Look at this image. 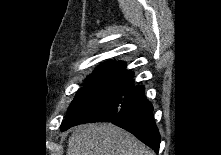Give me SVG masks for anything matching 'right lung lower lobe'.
Listing matches in <instances>:
<instances>
[{"mask_svg":"<svg viewBox=\"0 0 221 155\" xmlns=\"http://www.w3.org/2000/svg\"><path fill=\"white\" fill-rule=\"evenodd\" d=\"M125 67L124 62L117 65L95 105L79 124L111 122L158 153L160 135L152 117L153 107L144 97V88L133 83V72Z\"/></svg>","mask_w":221,"mask_h":155,"instance_id":"obj_1","label":"right lung lower lobe"}]
</instances>
